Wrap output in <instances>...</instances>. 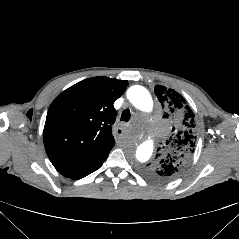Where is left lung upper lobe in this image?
Masks as SVG:
<instances>
[{"mask_svg":"<svg viewBox=\"0 0 239 239\" xmlns=\"http://www.w3.org/2000/svg\"><path fill=\"white\" fill-rule=\"evenodd\" d=\"M164 116L173 122V134L163 149L158 148L155 161L142 168V173L156 182H168L179 177L188 167L196 144L195 115L190 106L173 89L155 86Z\"/></svg>","mask_w":239,"mask_h":239,"instance_id":"left-lung-upper-lobe-1","label":"left lung upper lobe"}]
</instances>
